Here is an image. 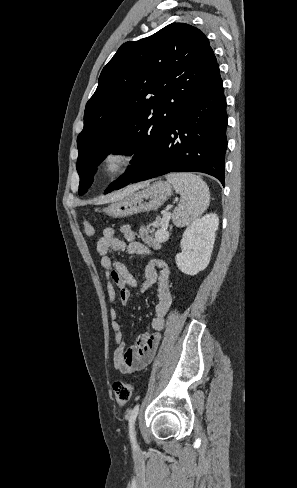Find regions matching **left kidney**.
<instances>
[{
  "mask_svg": "<svg viewBox=\"0 0 297 488\" xmlns=\"http://www.w3.org/2000/svg\"><path fill=\"white\" fill-rule=\"evenodd\" d=\"M218 225V216L210 213L187 226L180 244L182 251L175 257L182 273L193 276L208 266Z\"/></svg>",
  "mask_w": 297,
  "mask_h": 488,
  "instance_id": "left-kidney-1",
  "label": "left kidney"
}]
</instances>
